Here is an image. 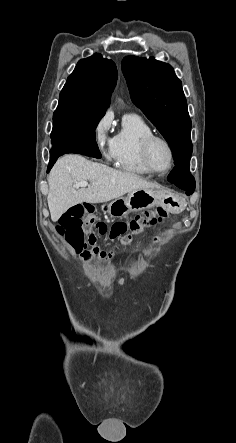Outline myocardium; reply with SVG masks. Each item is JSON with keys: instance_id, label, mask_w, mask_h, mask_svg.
I'll return each mask as SVG.
<instances>
[{"instance_id": "f54148a6", "label": "myocardium", "mask_w": 236, "mask_h": 443, "mask_svg": "<svg viewBox=\"0 0 236 443\" xmlns=\"http://www.w3.org/2000/svg\"><path fill=\"white\" fill-rule=\"evenodd\" d=\"M155 142L163 143L167 147L169 154H170L169 166L165 170H162V171L157 170L153 166V164L151 162V158H150L151 147ZM141 158H142L143 164L149 170L150 173L162 175V174L168 173L172 169V167L174 165V161H175V153H174L173 146L166 138L156 135V134H152V135L147 136L141 143Z\"/></svg>"}]
</instances>
